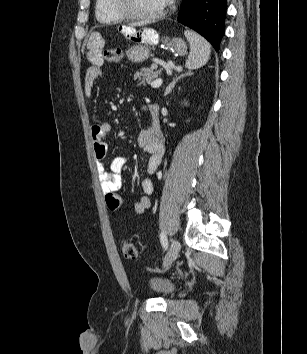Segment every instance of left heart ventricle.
I'll return each instance as SVG.
<instances>
[{
	"label": "left heart ventricle",
	"mask_w": 307,
	"mask_h": 354,
	"mask_svg": "<svg viewBox=\"0 0 307 354\" xmlns=\"http://www.w3.org/2000/svg\"><path fill=\"white\" fill-rule=\"evenodd\" d=\"M133 11L141 14H152L164 6L163 0H129Z\"/></svg>",
	"instance_id": "b2bd125f"
}]
</instances>
